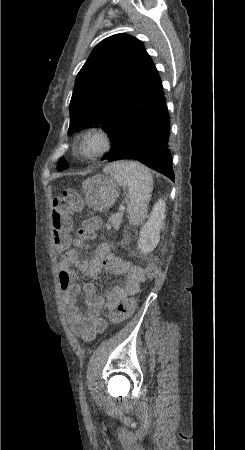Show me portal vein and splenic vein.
<instances>
[{"label":"portal vein and splenic vein","instance_id":"1","mask_svg":"<svg viewBox=\"0 0 245 450\" xmlns=\"http://www.w3.org/2000/svg\"><path fill=\"white\" fill-rule=\"evenodd\" d=\"M125 209V206L124 205H121L120 207H119V210L120 211H123Z\"/></svg>","mask_w":245,"mask_h":450}]
</instances>
